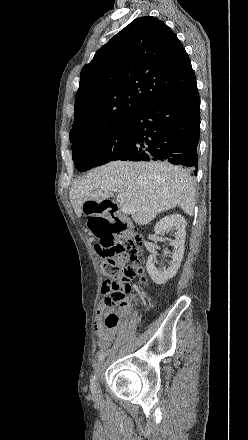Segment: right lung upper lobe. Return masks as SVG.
Masks as SVG:
<instances>
[{"label": "right lung upper lobe", "instance_id": "cb5924a9", "mask_svg": "<svg viewBox=\"0 0 248 440\" xmlns=\"http://www.w3.org/2000/svg\"><path fill=\"white\" fill-rule=\"evenodd\" d=\"M195 82L176 34L157 18H137L83 67L71 143L98 137L129 121L147 103Z\"/></svg>", "mask_w": 248, "mask_h": 440}]
</instances>
